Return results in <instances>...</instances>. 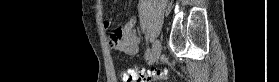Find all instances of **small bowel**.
<instances>
[{
	"mask_svg": "<svg viewBox=\"0 0 279 82\" xmlns=\"http://www.w3.org/2000/svg\"><path fill=\"white\" fill-rule=\"evenodd\" d=\"M100 10L103 7L100 6ZM105 29L111 28V19H106L103 22ZM109 46L119 52L126 54H135L139 48V41L135 34V19H130L125 26L114 28L108 37Z\"/></svg>",
	"mask_w": 279,
	"mask_h": 82,
	"instance_id": "1",
	"label": "small bowel"
}]
</instances>
